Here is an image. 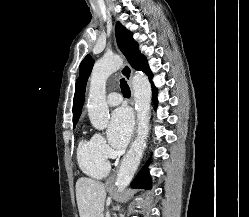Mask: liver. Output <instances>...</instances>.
I'll use <instances>...</instances> for the list:
<instances>
[{
	"instance_id": "6515ba94",
	"label": "liver",
	"mask_w": 249,
	"mask_h": 217,
	"mask_svg": "<svg viewBox=\"0 0 249 217\" xmlns=\"http://www.w3.org/2000/svg\"><path fill=\"white\" fill-rule=\"evenodd\" d=\"M106 198L102 182L81 177L76 182V199L80 217H102Z\"/></svg>"
}]
</instances>
